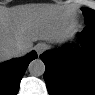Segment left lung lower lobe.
I'll return each instance as SVG.
<instances>
[{"label": "left lung lower lobe", "mask_w": 95, "mask_h": 95, "mask_svg": "<svg viewBox=\"0 0 95 95\" xmlns=\"http://www.w3.org/2000/svg\"><path fill=\"white\" fill-rule=\"evenodd\" d=\"M86 24L79 34L84 47L66 45L40 56L50 95H95V22Z\"/></svg>", "instance_id": "1"}]
</instances>
